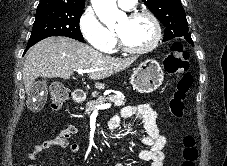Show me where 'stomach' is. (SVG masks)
I'll list each match as a JSON object with an SVG mask.
<instances>
[{
    "label": "stomach",
    "mask_w": 227,
    "mask_h": 166,
    "mask_svg": "<svg viewBox=\"0 0 227 166\" xmlns=\"http://www.w3.org/2000/svg\"><path fill=\"white\" fill-rule=\"evenodd\" d=\"M164 79V71L155 60L142 62L131 75V84L141 93H151L158 89Z\"/></svg>",
    "instance_id": "obj_1"
}]
</instances>
